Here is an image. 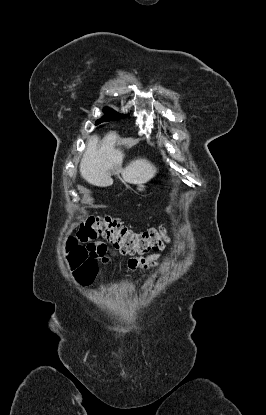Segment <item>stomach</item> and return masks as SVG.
Here are the masks:
<instances>
[{
    "label": "stomach",
    "mask_w": 266,
    "mask_h": 415,
    "mask_svg": "<svg viewBox=\"0 0 266 415\" xmlns=\"http://www.w3.org/2000/svg\"><path fill=\"white\" fill-rule=\"evenodd\" d=\"M137 190H138V192H144L146 190V187H145V185L140 184V185L137 186Z\"/></svg>",
    "instance_id": "0dacf381"
}]
</instances>
